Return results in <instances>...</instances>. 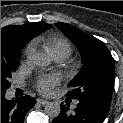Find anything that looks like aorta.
<instances>
[{
	"instance_id": "762f6f07",
	"label": "aorta",
	"mask_w": 123,
	"mask_h": 123,
	"mask_svg": "<svg viewBox=\"0 0 123 123\" xmlns=\"http://www.w3.org/2000/svg\"><path fill=\"white\" fill-rule=\"evenodd\" d=\"M30 62L40 68H45L51 63L50 57L44 52H34L29 56ZM46 113L50 117H57L60 114V104L57 102H49L45 107Z\"/></svg>"
}]
</instances>
